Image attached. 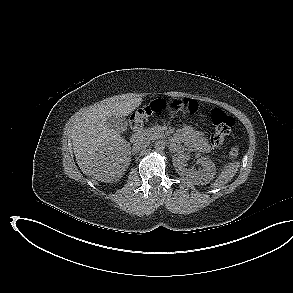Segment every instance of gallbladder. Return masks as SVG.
Here are the masks:
<instances>
[{
	"label": "gallbladder",
	"instance_id": "bac80fb5",
	"mask_svg": "<svg viewBox=\"0 0 293 293\" xmlns=\"http://www.w3.org/2000/svg\"><path fill=\"white\" fill-rule=\"evenodd\" d=\"M107 125L111 128L114 129L115 131L119 133H123L127 130L128 123L123 116H110L107 117L106 121Z\"/></svg>",
	"mask_w": 293,
	"mask_h": 293
}]
</instances>
